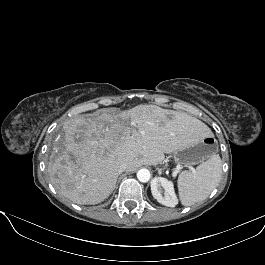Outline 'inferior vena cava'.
I'll return each mask as SVG.
<instances>
[{"label": "inferior vena cava", "instance_id": "602c4592", "mask_svg": "<svg viewBox=\"0 0 265 265\" xmlns=\"http://www.w3.org/2000/svg\"><path fill=\"white\" fill-rule=\"evenodd\" d=\"M128 170V164L127 163H121L118 167V173H122L124 171Z\"/></svg>", "mask_w": 265, "mask_h": 265}]
</instances>
